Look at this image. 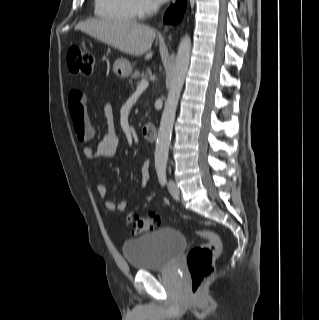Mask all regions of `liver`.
Wrapping results in <instances>:
<instances>
[{
    "label": "liver",
    "instance_id": "6515ba94",
    "mask_svg": "<svg viewBox=\"0 0 319 320\" xmlns=\"http://www.w3.org/2000/svg\"><path fill=\"white\" fill-rule=\"evenodd\" d=\"M75 29L123 53L132 56H141L146 53L145 59H150L153 55L148 51L156 33L147 25L130 20L89 19L78 23Z\"/></svg>",
    "mask_w": 319,
    "mask_h": 320
}]
</instances>
